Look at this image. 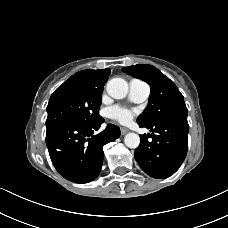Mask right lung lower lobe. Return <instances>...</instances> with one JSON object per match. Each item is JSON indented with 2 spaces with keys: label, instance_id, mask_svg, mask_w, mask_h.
<instances>
[{
  "label": "right lung lower lobe",
  "instance_id": "1",
  "mask_svg": "<svg viewBox=\"0 0 228 228\" xmlns=\"http://www.w3.org/2000/svg\"><path fill=\"white\" fill-rule=\"evenodd\" d=\"M104 119L68 122L56 125L46 132V144L56 170L67 180L87 183L100 173L103 146L120 136L118 126L108 124L101 133L94 135Z\"/></svg>",
  "mask_w": 228,
  "mask_h": 228
}]
</instances>
